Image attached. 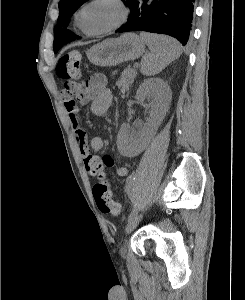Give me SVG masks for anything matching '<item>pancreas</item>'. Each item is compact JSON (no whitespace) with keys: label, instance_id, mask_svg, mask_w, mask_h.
Masks as SVG:
<instances>
[{"label":"pancreas","instance_id":"cf45deb5","mask_svg":"<svg viewBox=\"0 0 245 300\" xmlns=\"http://www.w3.org/2000/svg\"><path fill=\"white\" fill-rule=\"evenodd\" d=\"M136 77V70L131 68H126L121 74V78L117 81V86L121 93L128 91L130 85L133 83Z\"/></svg>","mask_w":245,"mask_h":300}]
</instances>
